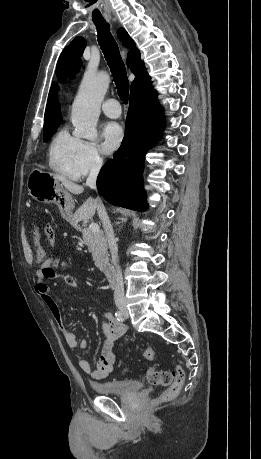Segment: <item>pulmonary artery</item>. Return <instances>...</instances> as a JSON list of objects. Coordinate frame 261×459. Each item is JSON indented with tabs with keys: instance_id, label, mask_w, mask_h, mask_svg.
I'll return each mask as SVG.
<instances>
[{
	"instance_id": "pulmonary-artery-1",
	"label": "pulmonary artery",
	"mask_w": 261,
	"mask_h": 459,
	"mask_svg": "<svg viewBox=\"0 0 261 459\" xmlns=\"http://www.w3.org/2000/svg\"><path fill=\"white\" fill-rule=\"evenodd\" d=\"M102 111L104 114L110 118H118L121 115V107L119 102L114 99L110 98L103 102L102 104Z\"/></svg>"
}]
</instances>
